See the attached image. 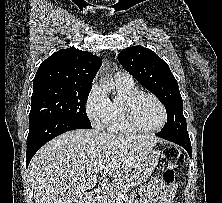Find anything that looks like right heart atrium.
<instances>
[{"label": "right heart atrium", "mask_w": 222, "mask_h": 203, "mask_svg": "<svg viewBox=\"0 0 222 203\" xmlns=\"http://www.w3.org/2000/svg\"><path fill=\"white\" fill-rule=\"evenodd\" d=\"M85 110L95 128L103 129L107 127L111 112V101L99 85L94 84L92 86L86 99Z\"/></svg>", "instance_id": "d8ad5b80"}]
</instances>
